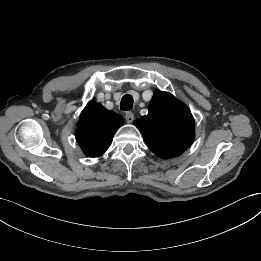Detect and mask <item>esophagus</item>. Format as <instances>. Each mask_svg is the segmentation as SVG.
Instances as JSON below:
<instances>
[{
    "label": "esophagus",
    "mask_w": 261,
    "mask_h": 261,
    "mask_svg": "<svg viewBox=\"0 0 261 261\" xmlns=\"http://www.w3.org/2000/svg\"><path fill=\"white\" fill-rule=\"evenodd\" d=\"M125 119L127 123H132L134 121V114L132 112H127L125 114Z\"/></svg>",
    "instance_id": "esophagus-1"
}]
</instances>
